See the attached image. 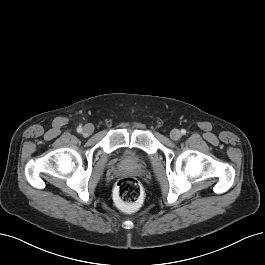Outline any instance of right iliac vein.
Here are the masks:
<instances>
[{
  "instance_id": "obj_1",
  "label": "right iliac vein",
  "mask_w": 265,
  "mask_h": 265,
  "mask_svg": "<svg viewBox=\"0 0 265 265\" xmlns=\"http://www.w3.org/2000/svg\"><path fill=\"white\" fill-rule=\"evenodd\" d=\"M93 131H94L93 125L87 124L83 128V135L89 136V135H91L93 133Z\"/></svg>"
}]
</instances>
